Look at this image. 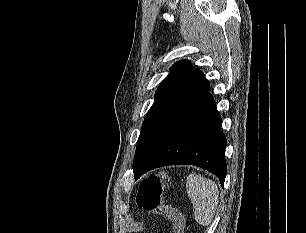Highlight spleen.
Wrapping results in <instances>:
<instances>
[{
  "label": "spleen",
  "mask_w": 306,
  "mask_h": 233,
  "mask_svg": "<svg viewBox=\"0 0 306 233\" xmlns=\"http://www.w3.org/2000/svg\"><path fill=\"white\" fill-rule=\"evenodd\" d=\"M186 190L193 204L195 221L202 226L210 225L218 205L217 184L201 175L191 173L186 179Z\"/></svg>",
  "instance_id": "1"
}]
</instances>
